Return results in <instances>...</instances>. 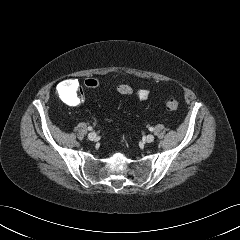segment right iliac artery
I'll list each match as a JSON object with an SVG mask.
<instances>
[{"instance_id": "obj_1", "label": "right iliac artery", "mask_w": 240, "mask_h": 240, "mask_svg": "<svg viewBox=\"0 0 240 240\" xmlns=\"http://www.w3.org/2000/svg\"><path fill=\"white\" fill-rule=\"evenodd\" d=\"M88 130H89V131H92V130H93V128H92L91 126H89V127H88Z\"/></svg>"}]
</instances>
